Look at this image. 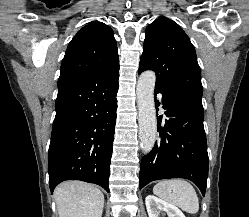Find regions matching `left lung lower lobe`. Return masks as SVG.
Listing matches in <instances>:
<instances>
[{
    "mask_svg": "<svg viewBox=\"0 0 249 217\" xmlns=\"http://www.w3.org/2000/svg\"><path fill=\"white\" fill-rule=\"evenodd\" d=\"M157 93L163 95L167 119L161 126L162 116H157L160 137L151 152L142 158L139 189L154 180L185 178L194 182L205 195L209 160L202 98L156 87V108L160 105Z\"/></svg>",
    "mask_w": 249,
    "mask_h": 217,
    "instance_id": "left-lung-lower-lobe-1",
    "label": "left lung lower lobe"
}]
</instances>
